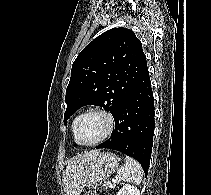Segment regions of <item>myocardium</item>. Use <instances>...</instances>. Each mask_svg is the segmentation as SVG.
I'll use <instances>...</instances> for the list:
<instances>
[{"label":"myocardium","mask_w":211,"mask_h":195,"mask_svg":"<svg viewBox=\"0 0 211 195\" xmlns=\"http://www.w3.org/2000/svg\"><path fill=\"white\" fill-rule=\"evenodd\" d=\"M90 114L102 115L107 121V129H106L105 133L96 141L91 142V143H85V142H82L79 138V127H80L81 121L87 115H90ZM114 128H115V118L111 112H109L108 110H105L103 108H92V109L85 111L78 117L76 125H75V133H74L75 139L79 145L87 146V147L96 146V145L104 142L107 138H109L111 136V134L113 133Z\"/></svg>","instance_id":"myocardium-1"}]
</instances>
